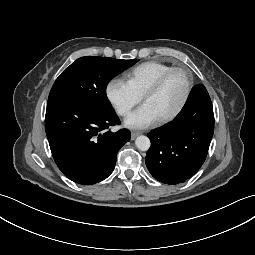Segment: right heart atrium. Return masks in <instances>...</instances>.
Segmentation results:
<instances>
[{"label":"right heart atrium","mask_w":255,"mask_h":255,"mask_svg":"<svg viewBox=\"0 0 255 255\" xmlns=\"http://www.w3.org/2000/svg\"><path fill=\"white\" fill-rule=\"evenodd\" d=\"M106 98L120 116H126L141 100L140 95L129 83L112 78L105 88Z\"/></svg>","instance_id":"1"}]
</instances>
